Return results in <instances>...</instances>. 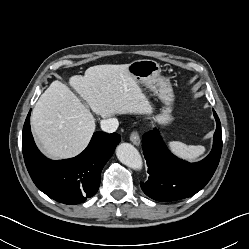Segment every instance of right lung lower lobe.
<instances>
[{
  "mask_svg": "<svg viewBox=\"0 0 249 249\" xmlns=\"http://www.w3.org/2000/svg\"><path fill=\"white\" fill-rule=\"evenodd\" d=\"M121 137L117 133L95 132L87 148L78 156L53 161L37 149L26 118L22 150L27 170L35 185L50 198L64 204H78L92 197L100 185L102 168L112 156Z\"/></svg>",
  "mask_w": 249,
  "mask_h": 249,
  "instance_id": "98d812e1",
  "label": "right lung lower lobe"
}]
</instances>
